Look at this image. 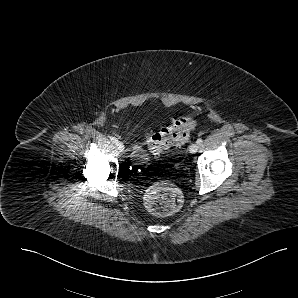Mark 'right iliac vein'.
Listing matches in <instances>:
<instances>
[{
  "label": "right iliac vein",
  "mask_w": 298,
  "mask_h": 298,
  "mask_svg": "<svg viewBox=\"0 0 298 298\" xmlns=\"http://www.w3.org/2000/svg\"><path fill=\"white\" fill-rule=\"evenodd\" d=\"M116 147L117 149L120 151V152H123L124 151V145L122 142H117L116 143Z\"/></svg>",
  "instance_id": "right-iliac-vein-1"
}]
</instances>
